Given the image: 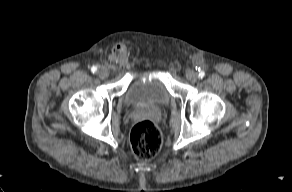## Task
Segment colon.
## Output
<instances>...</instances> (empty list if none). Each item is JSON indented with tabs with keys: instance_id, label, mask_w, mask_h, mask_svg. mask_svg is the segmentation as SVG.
Wrapping results in <instances>:
<instances>
[{
	"instance_id": "1",
	"label": "colon",
	"mask_w": 292,
	"mask_h": 192,
	"mask_svg": "<svg viewBox=\"0 0 292 192\" xmlns=\"http://www.w3.org/2000/svg\"><path fill=\"white\" fill-rule=\"evenodd\" d=\"M131 147L136 158L149 160L155 157L162 144L158 128L149 120L138 122L131 131Z\"/></svg>"
}]
</instances>
